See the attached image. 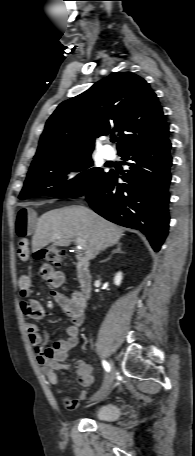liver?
Returning <instances> with one entry per match:
<instances>
[{
  "label": "liver",
  "mask_w": 195,
  "mask_h": 456,
  "mask_svg": "<svg viewBox=\"0 0 195 456\" xmlns=\"http://www.w3.org/2000/svg\"><path fill=\"white\" fill-rule=\"evenodd\" d=\"M124 235V229L83 206H70L44 213L38 220L32 237V251L48 244L68 247L80 237L86 242L85 259L96 255L114 244Z\"/></svg>",
  "instance_id": "liver-1"
}]
</instances>
